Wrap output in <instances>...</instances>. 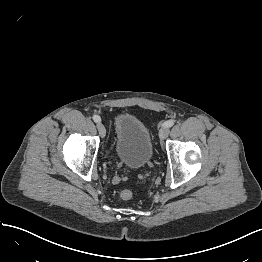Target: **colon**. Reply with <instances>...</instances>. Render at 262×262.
Masks as SVG:
<instances>
[{"mask_svg": "<svg viewBox=\"0 0 262 262\" xmlns=\"http://www.w3.org/2000/svg\"><path fill=\"white\" fill-rule=\"evenodd\" d=\"M119 198L124 200V201L131 200L133 198V193L128 189L120 190L119 191Z\"/></svg>", "mask_w": 262, "mask_h": 262, "instance_id": "5ec220e1", "label": "colon"}]
</instances>
